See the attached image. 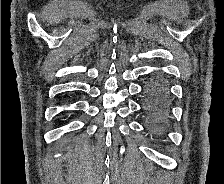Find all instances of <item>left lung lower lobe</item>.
<instances>
[{"instance_id": "obj_1", "label": "left lung lower lobe", "mask_w": 224, "mask_h": 184, "mask_svg": "<svg viewBox=\"0 0 224 184\" xmlns=\"http://www.w3.org/2000/svg\"><path fill=\"white\" fill-rule=\"evenodd\" d=\"M145 111L150 130L162 134L169 120V85L161 74H155L145 86Z\"/></svg>"}]
</instances>
